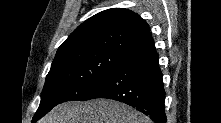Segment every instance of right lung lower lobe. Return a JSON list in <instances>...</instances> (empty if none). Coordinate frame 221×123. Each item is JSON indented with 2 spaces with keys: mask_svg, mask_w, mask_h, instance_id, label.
<instances>
[{
  "mask_svg": "<svg viewBox=\"0 0 221 123\" xmlns=\"http://www.w3.org/2000/svg\"><path fill=\"white\" fill-rule=\"evenodd\" d=\"M95 98L123 102L156 123H165V91L155 48L129 56L109 72L96 84L90 99Z\"/></svg>",
  "mask_w": 221,
  "mask_h": 123,
  "instance_id": "obj_1",
  "label": "right lung lower lobe"
}]
</instances>
